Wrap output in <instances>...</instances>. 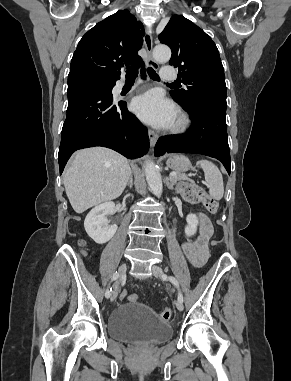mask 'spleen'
Masks as SVG:
<instances>
[{
	"mask_svg": "<svg viewBox=\"0 0 291 381\" xmlns=\"http://www.w3.org/2000/svg\"><path fill=\"white\" fill-rule=\"evenodd\" d=\"M197 165L203 169L210 196L215 200H221L224 194L223 177L216 165L211 161L202 159Z\"/></svg>",
	"mask_w": 291,
	"mask_h": 381,
	"instance_id": "1",
	"label": "spleen"
}]
</instances>
